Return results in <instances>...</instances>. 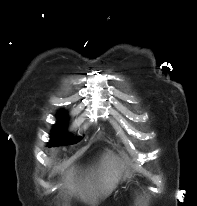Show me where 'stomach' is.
<instances>
[{"mask_svg": "<svg viewBox=\"0 0 197 206\" xmlns=\"http://www.w3.org/2000/svg\"><path fill=\"white\" fill-rule=\"evenodd\" d=\"M126 177H129L128 173H127V175H126L125 177H123V179L125 180V179H126Z\"/></svg>", "mask_w": 197, "mask_h": 206, "instance_id": "stomach-1", "label": "stomach"}]
</instances>
